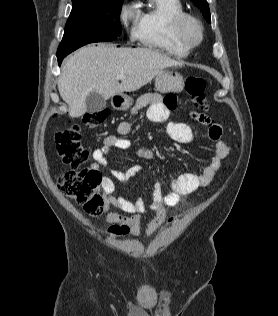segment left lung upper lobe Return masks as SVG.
Here are the masks:
<instances>
[{"instance_id":"5c2ea615","label":"left lung upper lobe","mask_w":278,"mask_h":316,"mask_svg":"<svg viewBox=\"0 0 278 316\" xmlns=\"http://www.w3.org/2000/svg\"><path fill=\"white\" fill-rule=\"evenodd\" d=\"M202 12L208 23H211L209 5L206 0H191Z\"/></svg>"}]
</instances>
